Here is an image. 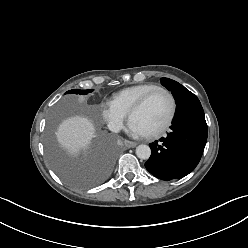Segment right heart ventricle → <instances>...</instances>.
Returning a JSON list of instances; mask_svg holds the SVG:
<instances>
[{"instance_id":"right-heart-ventricle-1","label":"right heart ventricle","mask_w":248,"mask_h":248,"mask_svg":"<svg viewBox=\"0 0 248 248\" xmlns=\"http://www.w3.org/2000/svg\"><path fill=\"white\" fill-rule=\"evenodd\" d=\"M156 87L158 86L150 83L129 86L115 93L111 102L127 114L145 93Z\"/></svg>"}]
</instances>
